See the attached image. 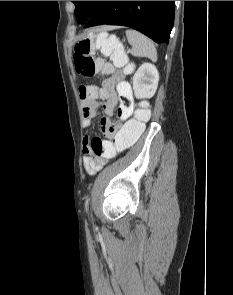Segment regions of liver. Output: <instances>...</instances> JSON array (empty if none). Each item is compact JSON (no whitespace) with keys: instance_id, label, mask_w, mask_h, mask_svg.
Returning a JSON list of instances; mask_svg holds the SVG:
<instances>
[{"instance_id":"6515ba94","label":"liver","mask_w":233,"mask_h":295,"mask_svg":"<svg viewBox=\"0 0 233 295\" xmlns=\"http://www.w3.org/2000/svg\"><path fill=\"white\" fill-rule=\"evenodd\" d=\"M115 27L114 26H107V27H104L102 28L101 30H111V29H114Z\"/></svg>"}]
</instances>
